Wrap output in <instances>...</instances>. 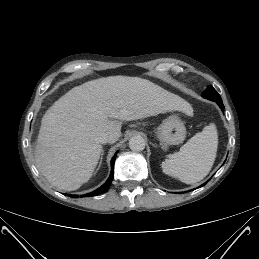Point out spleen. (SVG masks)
Listing matches in <instances>:
<instances>
[{"instance_id":"3e777b00","label":"spleen","mask_w":259,"mask_h":259,"mask_svg":"<svg viewBox=\"0 0 259 259\" xmlns=\"http://www.w3.org/2000/svg\"><path fill=\"white\" fill-rule=\"evenodd\" d=\"M218 134L214 123L196 133L179 152L169 155L162 162L165 174L186 184H193L208 175L217 154Z\"/></svg>"}]
</instances>
